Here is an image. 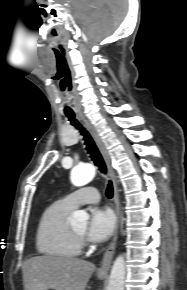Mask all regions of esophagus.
Here are the masks:
<instances>
[{"label":"esophagus","mask_w":187,"mask_h":290,"mask_svg":"<svg viewBox=\"0 0 187 290\" xmlns=\"http://www.w3.org/2000/svg\"><path fill=\"white\" fill-rule=\"evenodd\" d=\"M79 117L84 122L85 127L87 128V130L91 134L98 149L100 150V152L105 160V163L107 165L109 176H110L112 183H113V189H114V198L113 199H114V204H115V213H116V217H117V224H116V229H115V233H114V237L112 239V242L110 243L109 247L107 248V250L104 254L102 263L97 271V273L99 275H106L108 273L109 268H110L112 258H113L114 252H115V248H116L117 239H118L119 220H120V203H119V196H118L117 180H116L115 171H114L113 166H112L110 154H109L108 150L106 149L101 137L99 136V134L97 133L95 128L83 117L82 114H79Z\"/></svg>","instance_id":"34e87169"}]
</instances>
